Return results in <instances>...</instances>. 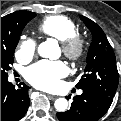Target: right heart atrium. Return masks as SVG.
I'll return each instance as SVG.
<instances>
[{
    "label": "right heart atrium",
    "instance_id": "right-heart-atrium-1",
    "mask_svg": "<svg viewBox=\"0 0 121 121\" xmlns=\"http://www.w3.org/2000/svg\"><path fill=\"white\" fill-rule=\"evenodd\" d=\"M37 43L32 38H24L20 41L17 50L16 57L20 60L27 61L33 58L36 53Z\"/></svg>",
    "mask_w": 121,
    "mask_h": 121
}]
</instances>
